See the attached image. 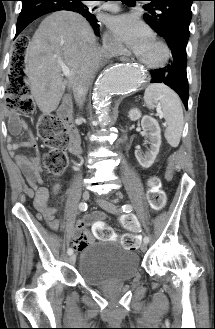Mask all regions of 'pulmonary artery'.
Wrapping results in <instances>:
<instances>
[{"label": "pulmonary artery", "mask_w": 215, "mask_h": 329, "mask_svg": "<svg viewBox=\"0 0 215 329\" xmlns=\"http://www.w3.org/2000/svg\"><path fill=\"white\" fill-rule=\"evenodd\" d=\"M100 8L104 11H109V12H117L119 11V7L115 4H103L100 6Z\"/></svg>", "instance_id": "obj_1"}]
</instances>
